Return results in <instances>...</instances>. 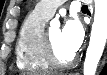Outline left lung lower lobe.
<instances>
[{"label": "left lung lower lobe", "instance_id": "left-lung-lower-lobe-1", "mask_svg": "<svg viewBox=\"0 0 107 75\" xmlns=\"http://www.w3.org/2000/svg\"><path fill=\"white\" fill-rule=\"evenodd\" d=\"M102 75H107V66L104 67V69L102 71Z\"/></svg>", "mask_w": 107, "mask_h": 75}]
</instances>
